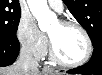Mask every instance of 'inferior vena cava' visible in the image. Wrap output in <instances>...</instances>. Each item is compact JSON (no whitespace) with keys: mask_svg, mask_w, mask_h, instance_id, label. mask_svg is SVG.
I'll return each instance as SVG.
<instances>
[{"mask_svg":"<svg viewBox=\"0 0 102 75\" xmlns=\"http://www.w3.org/2000/svg\"><path fill=\"white\" fill-rule=\"evenodd\" d=\"M16 65L20 67L25 74L38 71V61L33 58L32 52L27 47H22Z\"/></svg>","mask_w":102,"mask_h":75,"instance_id":"1","label":"inferior vena cava"}]
</instances>
